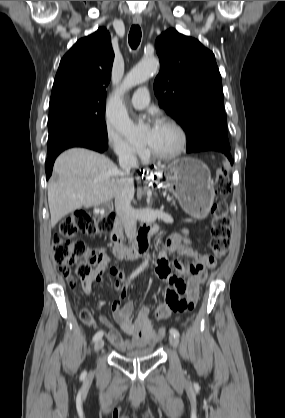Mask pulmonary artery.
<instances>
[{"label": "pulmonary artery", "instance_id": "1", "mask_svg": "<svg viewBox=\"0 0 285 418\" xmlns=\"http://www.w3.org/2000/svg\"><path fill=\"white\" fill-rule=\"evenodd\" d=\"M149 101V92L145 88L136 91L131 97V104L133 107L141 109L147 106Z\"/></svg>", "mask_w": 285, "mask_h": 418}]
</instances>
